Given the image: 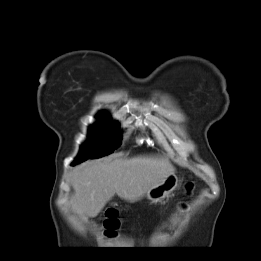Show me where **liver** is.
<instances>
[{
  "instance_id": "6515ba94",
  "label": "liver",
  "mask_w": 261,
  "mask_h": 261,
  "mask_svg": "<svg viewBox=\"0 0 261 261\" xmlns=\"http://www.w3.org/2000/svg\"><path fill=\"white\" fill-rule=\"evenodd\" d=\"M174 171L168 159L156 155L85 162L71 172L72 209L85 222L97 216L115 194L135 202Z\"/></svg>"
}]
</instances>
